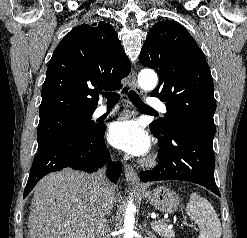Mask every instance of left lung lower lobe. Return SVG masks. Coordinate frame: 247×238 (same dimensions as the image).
<instances>
[{
    "label": "left lung lower lobe",
    "instance_id": "1",
    "mask_svg": "<svg viewBox=\"0 0 247 238\" xmlns=\"http://www.w3.org/2000/svg\"><path fill=\"white\" fill-rule=\"evenodd\" d=\"M156 137L159 142V163L150 171L140 172L144 182L189 181L220 196L214 179L213 140L184 127H176L167 139Z\"/></svg>",
    "mask_w": 247,
    "mask_h": 238
}]
</instances>
